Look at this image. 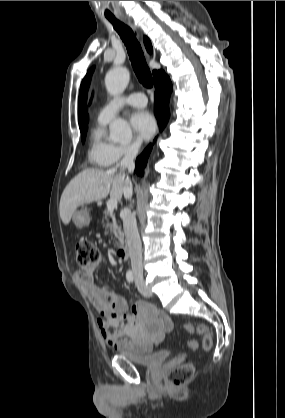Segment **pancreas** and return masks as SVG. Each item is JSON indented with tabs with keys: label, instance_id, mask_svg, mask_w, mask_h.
<instances>
[{
	"label": "pancreas",
	"instance_id": "cf45deb5",
	"mask_svg": "<svg viewBox=\"0 0 285 418\" xmlns=\"http://www.w3.org/2000/svg\"><path fill=\"white\" fill-rule=\"evenodd\" d=\"M110 216L111 222H109L107 216ZM105 220L107 221L106 224V233H108V231H110L111 233H113L115 235V237L118 239V243L116 242V245H120L123 244L124 242V235L121 231V227L117 225V221L115 216L113 215V213H109L108 211H105Z\"/></svg>",
	"mask_w": 285,
	"mask_h": 418
}]
</instances>
